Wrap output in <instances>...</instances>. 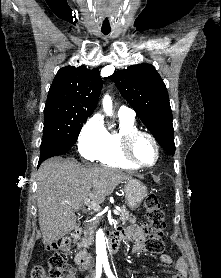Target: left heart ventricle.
<instances>
[{"label":"left heart ventricle","instance_id":"obj_1","mask_svg":"<svg viewBox=\"0 0 221 278\" xmlns=\"http://www.w3.org/2000/svg\"><path fill=\"white\" fill-rule=\"evenodd\" d=\"M133 156L142 164H152L156 158V150L151 140L145 136L138 137L133 146Z\"/></svg>","mask_w":221,"mask_h":278}]
</instances>
